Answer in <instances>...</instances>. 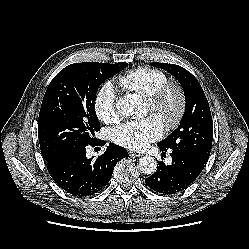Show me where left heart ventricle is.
<instances>
[{"instance_id": "b2bd125f", "label": "left heart ventricle", "mask_w": 249, "mask_h": 249, "mask_svg": "<svg viewBox=\"0 0 249 249\" xmlns=\"http://www.w3.org/2000/svg\"><path fill=\"white\" fill-rule=\"evenodd\" d=\"M146 107H147V112H152V110H151L148 103L146 104ZM155 115H157L162 120V122H164V117L161 114H156L155 113Z\"/></svg>"}]
</instances>
